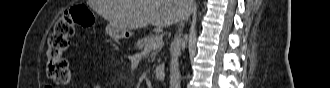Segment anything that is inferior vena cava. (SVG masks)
Returning <instances> with one entry per match:
<instances>
[{
	"mask_svg": "<svg viewBox=\"0 0 330 88\" xmlns=\"http://www.w3.org/2000/svg\"><path fill=\"white\" fill-rule=\"evenodd\" d=\"M190 13L191 12L188 9H184L181 18L178 21L179 22L178 33L175 35L170 45V53H171L170 88H180V72H179L178 57L180 55V50H181V31L184 26L183 21L188 19Z\"/></svg>",
	"mask_w": 330,
	"mask_h": 88,
	"instance_id": "1",
	"label": "inferior vena cava"
}]
</instances>
